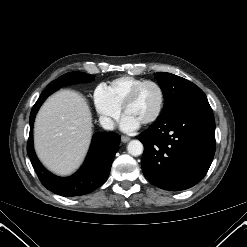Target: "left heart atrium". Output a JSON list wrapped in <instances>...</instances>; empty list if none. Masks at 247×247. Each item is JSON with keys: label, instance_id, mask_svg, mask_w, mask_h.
<instances>
[{"label": "left heart atrium", "instance_id": "left-heart-atrium-1", "mask_svg": "<svg viewBox=\"0 0 247 247\" xmlns=\"http://www.w3.org/2000/svg\"><path fill=\"white\" fill-rule=\"evenodd\" d=\"M141 122L135 119L134 117L125 114L121 120V128L125 132H132L139 128Z\"/></svg>", "mask_w": 247, "mask_h": 247}]
</instances>
